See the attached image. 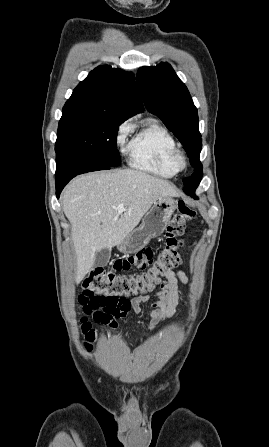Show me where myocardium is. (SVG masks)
<instances>
[{
    "mask_svg": "<svg viewBox=\"0 0 269 447\" xmlns=\"http://www.w3.org/2000/svg\"><path fill=\"white\" fill-rule=\"evenodd\" d=\"M173 162L178 170L184 169L186 167V156L184 152L177 149Z\"/></svg>",
    "mask_w": 269,
    "mask_h": 447,
    "instance_id": "obj_1",
    "label": "myocardium"
}]
</instances>
